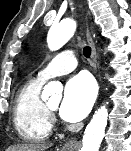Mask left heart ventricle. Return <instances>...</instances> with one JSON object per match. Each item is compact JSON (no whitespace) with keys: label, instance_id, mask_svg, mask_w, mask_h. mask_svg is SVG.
Here are the masks:
<instances>
[{"label":"left heart ventricle","instance_id":"obj_1","mask_svg":"<svg viewBox=\"0 0 131 151\" xmlns=\"http://www.w3.org/2000/svg\"><path fill=\"white\" fill-rule=\"evenodd\" d=\"M59 105V100L53 101L49 104L50 107L56 109Z\"/></svg>","mask_w":131,"mask_h":151}]
</instances>
